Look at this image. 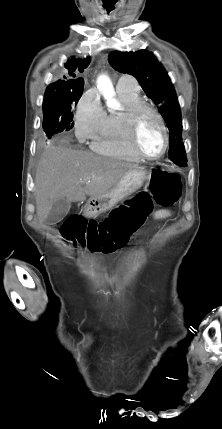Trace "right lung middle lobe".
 <instances>
[{"label": "right lung middle lobe", "instance_id": "1", "mask_svg": "<svg viewBox=\"0 0 222 429\" xmlns=\"http://www.w3.org/2000/svg\"><path fill=\"white\" fill-rule=\"evenodd\" d=\"M84 84L64 91L47 90L43 100V129L51 138L73 126V110L83 93Z\"/></svg>", "mask_w": 222, "mask_h": 429}]
</instances>
